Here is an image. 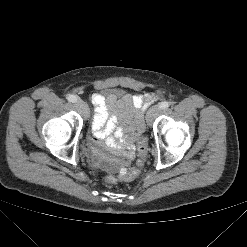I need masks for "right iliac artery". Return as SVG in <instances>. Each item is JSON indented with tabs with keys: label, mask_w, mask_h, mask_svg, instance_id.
<instances>
[{
	"label": "right iliac artery",
	"mask_w": 247,
	"mask_h": 247,
	"mask_svg": "<svg viewBox=\"0 0 247 247\" xmlns=\"http://www.w3.org/2000/svg\"><path fill=\"white\" fill-rule=\"evenodd\" d=\"M77 99H78V98H77L75 95H68V96H67V100H68L69 102H72V103L76 102Z\"/></svg>",
	"instance_id": "obj_1"
}]
</instances>
